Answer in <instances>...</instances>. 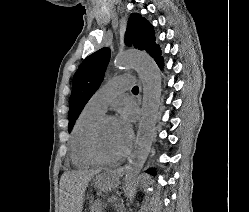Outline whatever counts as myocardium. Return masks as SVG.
I'll return each instance as SVG.
<instances>
[{
    "label": "myocardium",
    "mask_w": 249,
    "mask_h": 212,
    "mask_svg": "<svg viewBox=\"0 0 249 212\" xmlns=\"http://www.w3.org/2000/svg\"><path fill=\"white\" fill-rule=\"evenodd\" d=\"M113 119L111 116L107 115H101L99 118H97L94 123L91 125L85 141V148L87 151L88 156L97 164L102 165H111L118 163L121 161L126 155L128 154L129 150L126 149L122 154L113 157V158H107L104 157L97 148V133L99 131L100 126L105 120Z\"/></svg>",
    "instance_id": "1"
}]
</instances>
